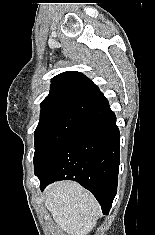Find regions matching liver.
I'll list each match as a JSON object with an SVG mask.
<instances>
[{
    "label": "liver",
    "mask_w": 155,
    "mask_h": 235,
    "mask_svg": "<svg viewBox=\"0 0 155 235\" xmlns=\"http://www.w3.org/2000/svg\"><path fill=\"white\" fill-rule=\"evenodd\" d=\"M45 206L67 235H87L96 226L100 210L94 196L73 181L49 185Z\"/></svg>",
    "instance_id": "obj_1"
}]
</instances>
